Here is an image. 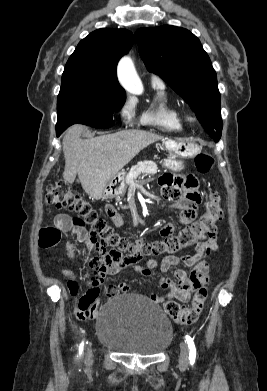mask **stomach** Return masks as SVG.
I'll return each instance as SVG.
<instances>
[{
  "instance_id": "obj_1",
  "label": "stomach",
  "mask_w": 267,
  "mask_h": 391,
  "mask_svg": "<svg viewBox=\"0 0 267 391\" xmlns=\"http://www.w3.org/2000/svg\"><path fill=\"white\" fill-rule=\"evenodd\" d=\"M163 150L166 153V158L162 164L167 170L180 171L184 168V160L194 157L200 147L190 141H174L163 140ZM126 172L122 170L117 173L103 188V199H112L121 197L126 192Z\"/></svg>"
}]
</instances>
